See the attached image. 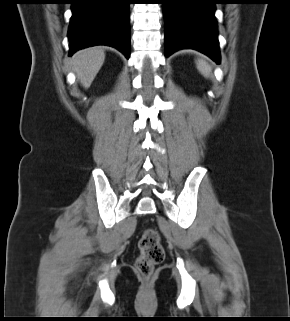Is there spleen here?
Returning <instances> with one entry per match:
<instances>
[{
    "mask_svg": "<svg viewBox=\"0 0 290 321\" xmlns=\"http://www.w3.org/2000/svg\"><path fill=\"white\" fill-rule=\"evenodd\" d=\"M197 69L204 77H210L212 73V68L204 59H198L196 62Z\"/></svg>",
    "mask_w": 290,
    "mask_h": 321,
    "instance_id": "3e777b00",
    "label": "spleen"
}]
</instances>
